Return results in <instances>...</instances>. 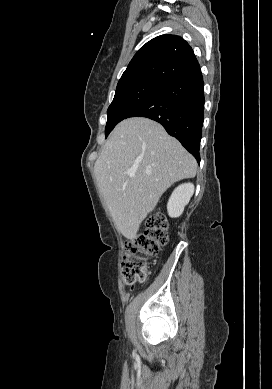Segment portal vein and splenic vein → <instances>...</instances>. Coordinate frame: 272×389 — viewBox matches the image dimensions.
Masks as SVG:
<instances>
[{
  "mask_svg": "<svg viewBox=\"0 0 272 389\" xmlns=\"http://www.w3.org/2000/svg\"><path fill=\"white\" fill-rule=\"evenodd\" d=\"M128 175H129L130 177H133V176H134V173H133V172H128Z\"/></svg>",
  "mask_w": 272,
  "mask_h": 389,
  "instance_id": "1",
  "label": "portal vein and splenic vein"
}]
</instances>
